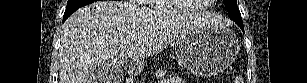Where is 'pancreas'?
Listing matches in <instances>:
<instances>
[{"label":"pancreas","instance_id":"obj_1","mask_svg":"<svg viewBox=\"0 0 307 83\" xmlns=\"http://www.w3.org/2000/svg\"><path fill=\"white\" fill-rule=\"evenodd\" d=\"M165 74H166V72L164 70H162V69H158L155 72V76L156 77H162V76H165Z\"/></svg>","mask_w":307,"mask_h":83}]
</instances>
